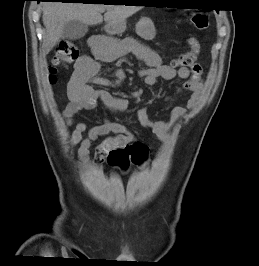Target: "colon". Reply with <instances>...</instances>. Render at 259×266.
<instances>
[{
	"mask_svg": "<svg viewBox=\"0 0 259 266\" xmlns=\"http://www.w3.org/2000/svg\"><path fill=\"white\" fill-rule=\"evenodd\" d=\"M191 21L196 29L206 30L209 26L208 17L203 13H195L191 16ZM200 52V45L195 38L189 39V51L183 53L173 61L174 67H192L196 64ZM79 58V49L70 40H62L53 57L50 67V80L55 82L59 68L76 61ZM148 156L147 147L141 142H134L121 149L112 151L108 157L111 165L126 169L129 165H142Z\"/></svg>",
	"mask_w": 259,
	"mask_h": 266,
	"instance_id": "obj_1",
	"label": "colon"
}]
</instances>
